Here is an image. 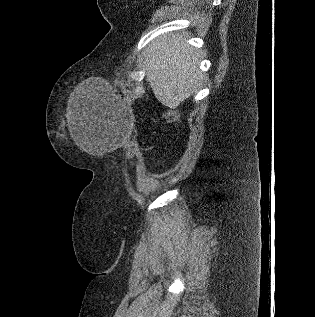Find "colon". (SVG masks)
Masks as SVG:
<instances>
[{
  "mask_svg": "<svg viewBox=\"0 0 315 317\" xmlns=\"http://www.w3.org/2000/svg\"><path fill=\"white\" fill-rule=\"evenodd\" d=\"M179 115L176 111H170L166 114V118L170 122H174L178 119Z\"/></svg>",
  "mask_w": 315,
  "mask_h": 317,
  "instance_id": "obj_1",
  "label": "colon"
}]
</instances>
